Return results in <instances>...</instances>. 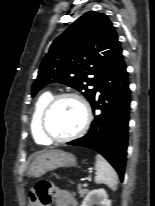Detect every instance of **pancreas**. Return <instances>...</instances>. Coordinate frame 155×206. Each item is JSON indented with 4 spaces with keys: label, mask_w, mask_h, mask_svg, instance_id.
<instances>
[{
    "label": "pancreas",
    "mask_w": 155,
    "mask_h": 206,
    "mask_svg": "<svg viewBox=\"0 0 155 206\" xmlns=\"http://www.w3.org/2000/svg\"><path fill=\"white\" fill-rule=\"evenodd\" d=\"M77 188H78V193L80 194L81 197H84V195L88 192V190L87 189H83L81 187V185H78Z\"/></svg>",
    "instance_id": "pancreas-1"
}]
</instances>
